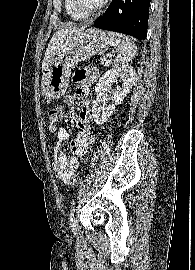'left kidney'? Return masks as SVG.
<instances>
[{"label":"left kidney","mask_w":195,"mask_h":270,"mask_svg":"<svg viewBox=\"0 0 195 270\" xmlns=\"http://www.w3.org/2000/svg\"><path fill=\"white\" fill-rule=\"evenodd\" d=\"M135 77L136 72L131 65L114 67L100 77L95 87V100L92 105V117L96 124H103L114 113L116 105L121 104L131 90ZM118 79L121 85L116 87L113 94L114 104H107L106 93Z\"/></svg>","instance_id":"1"}]
</instances>
